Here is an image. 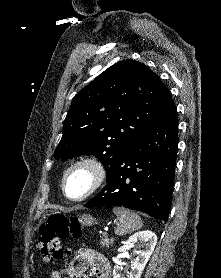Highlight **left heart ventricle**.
I'll list each match as a JSON object with an SVG mask.
<instances>
[{
	"label": "left heart ventricle",
	"mask_w": 221,
	"mask_h": 278,
	"mask_svg": "<svg viewBox=\"0 0 221 278\" xmlns=\"http://www.w3.org/2000/svg\"><path fill=\"white\" fill-rule=\"evenodd\" d=\"M92 179L87 168H77L70 173L66 183V192L71 197L81 196L89 188Z\"/></svg>",
	"instance_id": "b2bd125f"
}]
</instances>
